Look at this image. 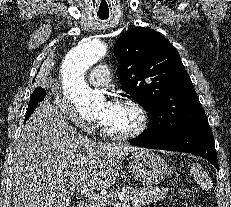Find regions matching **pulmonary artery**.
<instances>
[{
    "label": "pulmonary artery",
    "mask_w": 231,
    "mask_h": 207,
    "mask_svg": "<svg viewBox=\"0 0 231 207\" xmlns=\"http://www.w3.org/2000/svg\"><path fill=\"white\" fill-rule=\"evenodd\" d=\"M111 78V72L107 65H95L88 75L89 82L96 87L105 86Z\"/></svg>",
    "instance_id": "e3ab8cb5"
}]
</instances>
